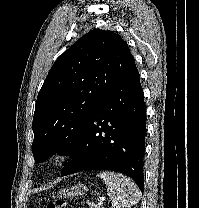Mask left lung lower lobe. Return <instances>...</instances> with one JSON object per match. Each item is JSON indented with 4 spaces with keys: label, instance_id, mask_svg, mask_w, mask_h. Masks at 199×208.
I'll use <instances>...</instances> for the list:
<instances>
[{
    "label": "left lung lower lobe",
    "instance_id": "left-lung-lower-lobe-1",
    "mask_svg": "<svg viewBox=\"0 0 199 208\" xmlns=\"http://www.w3.org/2000/svg\"><path fill=\"white\" fill-rule=\"evenodd\" d=\"M145 116L134 62L96 106L61 176L92 169L112 170L130 176L143 191Z\"/></svg>",
    "mask_w": 199,
    "mask_h": 208
}]
</instances>
